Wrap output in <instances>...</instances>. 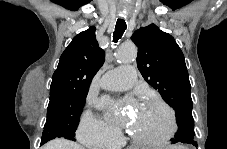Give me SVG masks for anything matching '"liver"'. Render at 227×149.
<instances>
[{
	"label": "liver",
	"instance_id": "1",
	"mask_svg": "<svg viewBox=\"0 0 227 149\" xmlns=\"http://www.w3.org/2000/svg\"><path fill=\"white\" fill-rule=\"evenodd\" d=\"M42 149H84L81 145L65 139H54L43 146Z\"/></svg>",
	"mask_w": 227,
	"mask_h": 149
}]
</instances>
